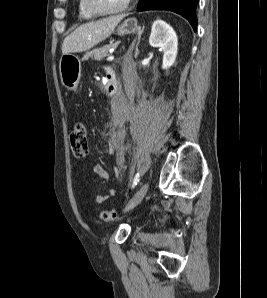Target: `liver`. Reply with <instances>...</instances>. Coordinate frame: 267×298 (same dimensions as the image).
I'll use <instances>...</instances> for the list:
<instances>
[{
  "mask_svg": "<svg viewBox=\"0 0 267 298\" xmlns=\"http://www.w3.org/2000/svg\"><path fill=\"white\" fill-rule=\"evenodd\" d=\"M125 15H116L80 25L62 44V53H78L91 49L111 35Z\"/></svg>",
  "mask_w": 267,
  "mask_h": 298,
  "instance_id": "6515ba94",
  "label": "liver"
}]
</instances>
